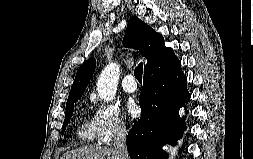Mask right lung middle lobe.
<instances>
[{
  "instance_id": "dd1d6c3e",
  "label": "right lung middle lobe",
  "mask_w": 253,
  "mask_h": 159,
  "mask_svg": "<svg viewBox=\"0 0 253 159\" xmlns=\"http://www.w3.org/2000/svg\"><path fill=\"white\" fill-rule=\"evenodd\" d=\"M78 99L79 98L72 99L70 101H67V103H66V114H65V120H64V123H63V127H62V135H63V133L65 131V128H66L67 124L70 121V118L72 117V114H73V105H74V103Z\"/></svg>"
}]
</instances>
